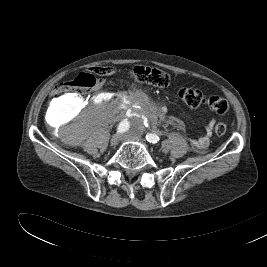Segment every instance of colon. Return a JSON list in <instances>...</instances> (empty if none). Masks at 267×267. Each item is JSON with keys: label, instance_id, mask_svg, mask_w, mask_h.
Masks as SVG:
<instances>
[{"label": "colon", "instance_id": "5ec220e1", "mask_svg": "<svg viewBox=\"0 0 267 267\" xmlns=\"http://www.w3.org/2000/svg\"><path fill=\"white\" fill-rule=\"evenodd\" d=\"M115 73V69L108 66H96L89 72L78 74L72 80L58 83L52 90L53 98H60L67 94L82 96L93 89L98 80L96 76H110ZM131 79L134 81L154 87H168L171 84L169 74L159 68L150 66H135L129 71ZM182 101L190 108L206 106L217 114H225L229 105L225 98L221 96H207L195 88L184 87L179 90ZM215 133L222 136L226 133L227 127L224 123L218 122L214 127Z\"/></svg>", "mask_w": 267, "mask_h": 267}]
</instances>
